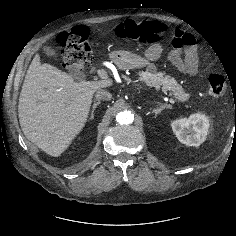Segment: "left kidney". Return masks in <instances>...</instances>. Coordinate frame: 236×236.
Returning <instances> with one entry per match:
<instances>
[{
    "label": "left kidney",
    "instance_id": "1",
    "mask_svg": "<svg viewBox=\"0 0 236 236\" xmlns=\"http://www.w3.org/2000/svg\"><path fill=\"white\" fill-rule=\"evenodd\" d=\"M209 119L202 113H195L189 118H181L171 123L177 139L187 146H199L206 140Z\"/></svg>",
    "mask_w": 236,
    "mask_h": 236
}]
</instances>
